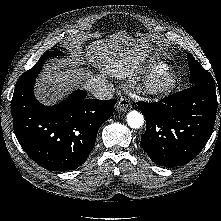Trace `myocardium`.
Wrapping results in <instances>:
<instances>
[{
	"label": "myocardium",
	"mask_w": 221,
	"mask_h": 221,
	"mask_svg": "<svg viewBox=\"0 0 221 221\" xmlns=\"http://www.w3.org/2000/svg\"><path fill=\"white\" fill-rule=\"evenodd\" d=\"M178 82V76L173 71L157 72L144 84L142 93L153 97L167 96L177 88Z\"/></svg>",
	"instance_id": "myocardium-1"
}]
</instances>
